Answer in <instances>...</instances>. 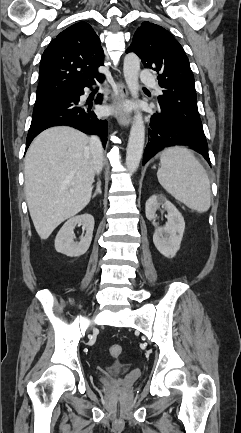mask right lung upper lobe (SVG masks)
I'll use <instances>...</instances> for the list:
<instances>
[{
	"instance_id": "obj_1",
	"label": "right lung upper lobe",
	"mask_w": 241,
	"mask_h": 433,
	"mask_svg": "<svg viewBox=\"0 0 241 433\" xmlns=\"http://www.w3.org/2000/svg\"><path fill=\"white\" fill-rule=\"evenodd\" d=\"M100 39L86 22L71 25L45 49L39 67L37 96L65 92L94 83L103 75Z\"/></svg>"
}]
</instances>
